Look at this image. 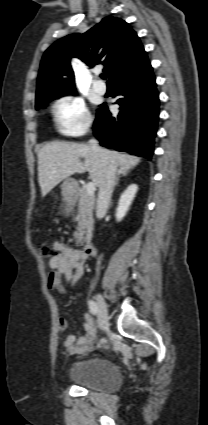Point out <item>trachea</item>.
Masks as SVG:
<instances>
[{"label": "trachea", "mask_w": 208, "mask_h": 425, "mask_svg": "<svg viewBox=\"0 0 208 425\" xmlns=\"http://www.w3.org/2000/svg\"><path fill=\"white\" fill-rule=\"evenodd\" d=\"M100 77H101L102 79H106V75H105V74H101V75H100Z\"/></svg>", "instance_id": "obj_1"}]
</instances>
